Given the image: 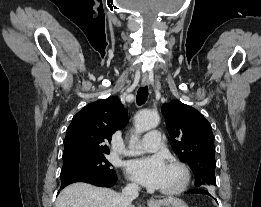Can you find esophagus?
I'll return each mask as SVG.
<instances>
[{
    "label": "esophagus",
    "instance_id": "esophagus-1",
    "mask_svg": "<svg viewBox=\"0 0 261 207\" xmlns=\"http://www.w3.org/2000/svg\"><path fill=\"white\" fill-rule=\"evenodd\" d=\"M141 84H142V86L148 85V84H149V78H148L147 76H144V77L142 78ZM147 203H148L149 205H151V204L154 203V200H153V199H150V200L147 201Z\"/></svg>",
    "mask_w": 261,
    "mask_h": 207
}]
</instances>
